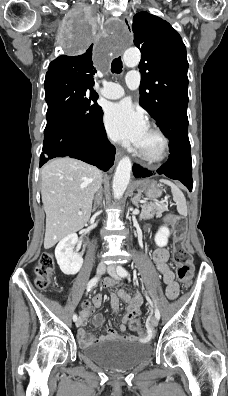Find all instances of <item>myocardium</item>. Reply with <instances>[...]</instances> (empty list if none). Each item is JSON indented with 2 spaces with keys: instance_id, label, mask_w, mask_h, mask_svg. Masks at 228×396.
Returning a JSON list of instances; mask_svg holds the SVG:
<instances>
[{
  "instance_id": "myocardium-1",
  "label": "myocardium",
  "mask_w": 228,
  "mask_h": 396,
  "mask_svg": "<svg viewBox=\"0 0 228 396\" xmlns=\"http://www.w3.org/2000/svg\"><path fill=\"white\" fill-rule=\"evenodd\" d=\"M148 129L153 132L161 141V148L160 151L155 154V155H150L147 154L143 151H141L139 148H137V155L139 158H141L143 161H146L151 164H156L164 161L166 157L168 156L169 152V140L167 136L164 134V132L157 127L154 124H151L148 126Z\"/></svg>"
}]
</instances>
